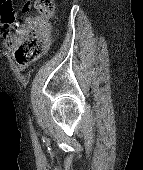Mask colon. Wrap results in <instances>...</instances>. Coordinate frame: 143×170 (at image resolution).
<instances>
[{
  "label": "colon",
  "mask_w": 143,
  "mask_h": 170,
  "mask_svg": "<svg viewBox=\"0 0 143 170\" xmlns=\"http://www.w3.org/2000/svg\"><path fill=\"white\" fill-rule=\"evenodd\" d=\"M34 7L37 16L25 18L26 27L15 51L16 59L20 63L42 57L49 49L52 40L50 20L55 15L53 0H35ZM0 10L5 22L15 21L16 15L11 0H0Z\"/></svg>",
  "instance_id": "5ec220e1"
}]
</instances>
